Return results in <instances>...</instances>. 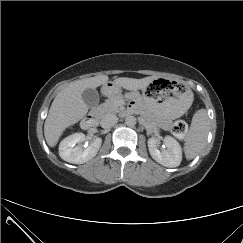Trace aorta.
Segmentation results:
<instances>
[{
  "instance_id": "aorta-1",
  "label": "aorta",
  "mask_w": 243,
  "mask_h": 243,
  "mask_svg": "<svg viewBox=\"0 0 243 243\" xmlns=\"http://www.w3.org/2000/svg\"><path fill=\"white\" fill-rule=\"evenodd\" d=\"M136 122H137L136 117H134L132 115L127 116L126 119H125V123L129 127L135 126Z\"/></svg>"
}]
</instances>
